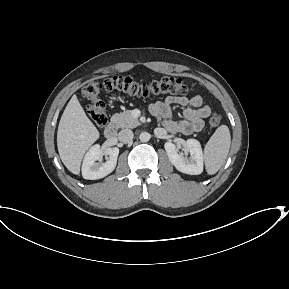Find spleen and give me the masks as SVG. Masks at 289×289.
Masks as SVG:
<instances>
[{"mask_svg":"<svg viewBox=\"0 0 289 289\" xmlns=\"http://www.w3.org/2000/svg\"><path fill=\"white\" fill-rule=\"evenodd\" d=\"M231 135L228 126H219L204 148L205 168L209 175H214L221 168L229 153Z\"/></svg>","mask_w":289,"mask_h":289,"instance_id":"spleen-1","label":"spleen"}]
</instances>
